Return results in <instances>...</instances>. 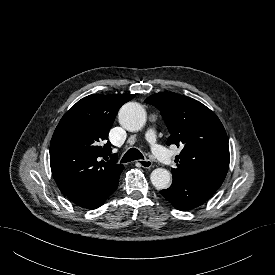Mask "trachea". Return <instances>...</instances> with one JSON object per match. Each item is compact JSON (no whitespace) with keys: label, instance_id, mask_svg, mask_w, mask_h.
Listing matches in <instances>:
<instances>
[{"label":"trachea","instance_id":"obj_1","mask_svg":"<svg viewBox=\"0 0 275 275\" xmlns=\"http://www.w3.org/2000/svg\"><path fill=\"white\" fill-rule=\"evenodd\" d=\"M138 159H144V156L138 149L131 148L125 153V155L121 159V163H126Z\"/></svg>","mask_w":275,"mask_h":275}]
</instances>
